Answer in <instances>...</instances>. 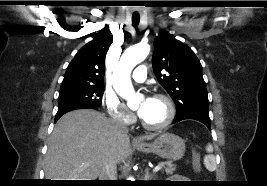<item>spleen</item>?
<instances>
[{
    "label": "spleen",
    "mask_w": 267,
    "mask_h": 186,
    "mask_svg": "<svg viewBox=\"0 0 267 186\" xmlns=\"http://www.w3.org/2000/svg\"><path fill=\"white\" fill-rule=\"evenodd\" d=\"M206 151L209 153V155L205 156L204 164L209 171H214L216 169V163L215 157L212 154L213 146L211 144H208L206 146Z\"/></svg>",
    "instance_id": "3e777b00"
}]
</instances>
